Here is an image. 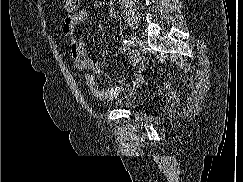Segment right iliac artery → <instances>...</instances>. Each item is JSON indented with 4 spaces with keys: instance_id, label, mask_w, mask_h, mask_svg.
<instances>
[{
    "instance_id": "1",
    "label": "right iliac artery",
    "mask_w": 243,
    "mask_h": 182,
    "mask_svg": "<svg viewBox=\"0 0 243 182\" xmlns=\"http://www.w3.org/2000/svg\"><path fill=\"white\" fill-rule=\"evenodd\" d=\"M130 41L129 40H124V42H123V47L125 48V49H129V47H130Z\"/></svg>"
}]
</instances>
